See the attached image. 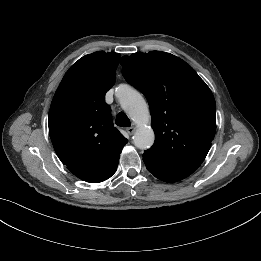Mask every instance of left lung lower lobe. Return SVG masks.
I'll return each mask as SVG.
<instances>
[{
    "instance_id": "1",
    "label": "left lung lower lobe",
    "mask_w": 261,
    "mask_h": 261,
    "mask_svg": "<svg viewBox=\"0 0 261 261\" xmlns=\"http://www.w3.org/2000/svg\"><path fill=\"white\" fill-rule=\"evenodd\" d=\"M143 161L156 178L165 182H176L192 174L196 168L179 167L163 163L149 154H143Z\"/></svg>"
}]
</instances>
